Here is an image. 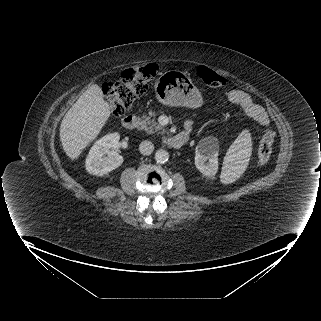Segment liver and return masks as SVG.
<instances>
[{
  "instance_id": "1",
  "label": "liver",
  "mask_w": 321,
  "mask_h": 321,
  "mask_svg": "<svg viewBox=\"0 0 321 321\" xmlns=\"http://www.w3.org/2000/svg\"><path fill=\"white\" fill-rule=\"evenodd\" d=\"M111 115V106L104 100L101 88L93 84L72 105L60 126V141L66 155L77 159L97 137Z\"/></svg>"
}]
</instances>
